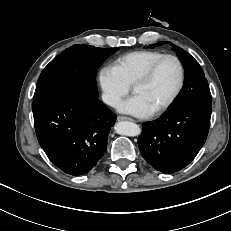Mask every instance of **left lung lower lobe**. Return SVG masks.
I'll use <instances>...</instances> for the list:
<instances>
[{"instance_id": "left-lung-lower-lobe-1", "label": "left lung lower lobe", "mask_w": 231, "mask_h": 231, "mask_svg": "<svg viewBox=\"0 0 231 231\" xmlns=\"http://www.w3.org/2000/svg\"><path fill=\"white\" fill-rule=\"evenodd\" d=\"M211 105L186 103L169 107L158 119L144 122L138 146L156 170L174 173L187 166L204 145Z\"/></svg>"}]
</instances>
